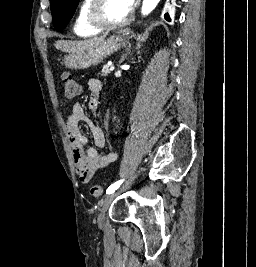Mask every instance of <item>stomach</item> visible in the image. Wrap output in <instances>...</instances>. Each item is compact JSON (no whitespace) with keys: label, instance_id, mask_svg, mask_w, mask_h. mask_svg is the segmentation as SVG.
Returning <instances> with one entry per match:
<instances>
[{"label":"stomach","instance_id":"0dacf381","mask_svg":"<svg viewBox=\"0 0 256 267\" xmlns=\"http://www.w3.org/2000/svg\"><path fill=\"white\" fill-rule=\"evenodd\" d=\"M128 38L126 30L115 32L113 36H109L104 42H100L98 46H89L85 52H77V54L67 56L63 62V67H70L72 70H83V68L96 66V64H99L114 52H118Z\"/></svg>","mask_w":256,"mask_h":267}]
</instances>
